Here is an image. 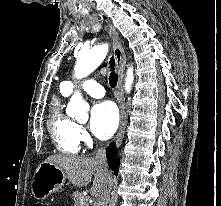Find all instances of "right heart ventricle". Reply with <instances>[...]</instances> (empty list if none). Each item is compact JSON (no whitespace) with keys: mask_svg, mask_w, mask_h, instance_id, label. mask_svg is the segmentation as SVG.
<instances>
[{"mask_svg":"<svg viewBox=\"0 0 221 206\" xmlns=\"http://www.w3.org/2000/svg\"><path fill=\"white\" fill-rule=\"evenodd\" d=\"M68 95L61 85L59 95L53 97L51 101L48 128L51 139L59 151L76 154L80 147L78 125L63 112L62 108L63 99Z\"/></svg>","mask_w":221,"mask_h":206,"instance_id":"right-heart-ventricle-1","label":"right heart ventricle"}]
</instances>
